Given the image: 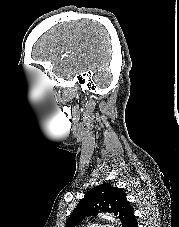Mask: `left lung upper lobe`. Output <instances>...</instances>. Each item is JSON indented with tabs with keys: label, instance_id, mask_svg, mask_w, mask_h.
<instances>
[{
	"label": "left lung upper lobe",
	"instance_id": "1",
	"mask_svg": "<svg viewBox=\"0 0 179 227\" xmlns=\"http://www.w3.org/2000/svg\"><path fill=\"white\" fill-rule=\"evenodd\" d=\"M98 211L113 212L121 220L122 227H137L134 209L125 192L110 183L99 185L86 193L70 215L65 227H75L86 216Z\"/></svg>",
	"mask_w": 179,
	"mask_h": 227
}]
</instances>
